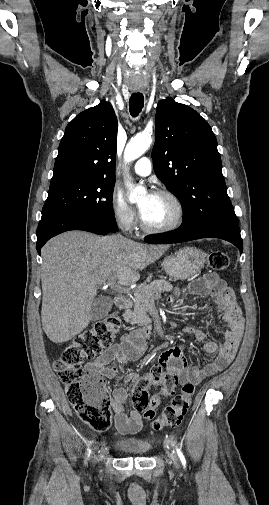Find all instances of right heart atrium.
<instances>
[{
  "mask_svg": "<svg viewBox=\"0 0 269 505\" xmlns=\"http://www.w3.org/2000/svg\"><path fill=\"white\" fill-rule=\"evenodd\" d=\"M110 206L113 218L120 227L130 230L135 226L137 220L136 213L120 191H113Z\"/></svg>",
  "mask_w": 269,
  "mask_h": 505,
  "instance_id": "1",
  "label": "right heart atrium"
}]
</instances>
